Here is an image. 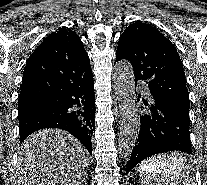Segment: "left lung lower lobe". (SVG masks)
<instances>
[{"label":"left lung lower lobe","instance_id":"obj_1","mask_svg":"<svg viewBox=\"0 0 207 185\" xmlns=\"http://www.w3.org/2000/svg\"><path fill=\"white\" fill-rule=\"evenodd\" d=\"M151 95L149 101L143 99L146 107L141 108L145 113L140 116L139 136L131 153L127 173L143 159L158 153L169 151L192 153L189 114L184 113L174 103L154 93ZM140 97L138 94L137 101H140Z\"/></svg>","mask_w":207,"mask_h":185}]
</instances>
